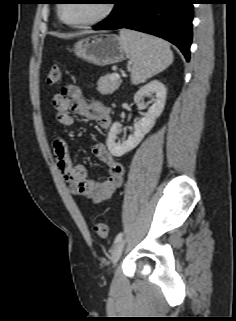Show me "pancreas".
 I'll list each match as a JSON object with an SVG mask.
<instances>
[{"label":"pancreas","instance_id":"pancreas-1","mask_svg":"<svg viewBox=\"0 0 236 321\" xmlns=\"http://www.w3.org/2000/svg\"><path fill=\"white\" fill-rule=\"evenodd\" d=\"M110 74H106L102 77L99 78L97 86L98 90L102 94H112L114 91H116L120 84L121 80L120 79H111Z\"/></svg>","mask_w":236,"mask_h":321}]
</instances>
